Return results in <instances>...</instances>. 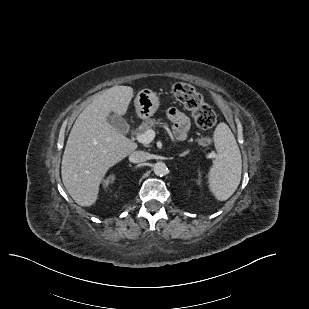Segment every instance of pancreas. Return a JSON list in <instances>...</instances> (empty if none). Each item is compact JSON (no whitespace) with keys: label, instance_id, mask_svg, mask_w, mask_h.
<instances>
[{"label":"pancreas","instance_id":"cf45deb5","mask_svg":"<svg viewBox=\"0 0 309 309\" xmlns=\"http://www.w3.org/2000/svg\"><path fill=\"white\" fill-rule=\"evenodd\" d=\"M159 123V121H156L153 118H149L146 119L145 121H143V123L139 126V128L136 130V134L140 135L143 134L145 131L151 129L152 127H154L155 125H157Z\"/></svg>","mask_w":309,"mask_h":309}]
</instances>
